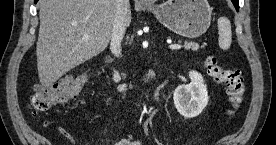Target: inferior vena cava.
Instances as JSON below:
<instances>
[{"label": "inferior vena cava", "mask_w": 276, "mask_h": 145, "mask_svg": "<svg viewBox=\"0 0 276 145\" xmlns=\"http://www.w3.org/2000/svg\"><path fill=\"white\" fill-rule=\"evenodd\" d=\"M115 5L116 13L113 22L110 49L115 56L119 57L121 55V42L125 33L123 10L129 6V0H115Z\"/></svg>", "instance_id": "obj_1"}]
</instances>
